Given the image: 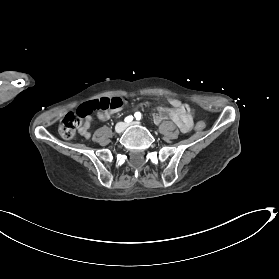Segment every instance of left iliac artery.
Segmentation results:
<instances>
[{"label":"left iliac artery","instance_id":"44dca946","mask_svg":"<svg viewBox=\"0 0 279 279\" xmlns=\"http://www.w3.org/2000/svg\"><path fill=\"white\" fill-rule=\"evenodd\" d=\"M135 118H136L137 120H141V119H142L141 113H140V112H136V113H135Z\"/></svg>","mask_w":279,"mask_h":279}]
</instances>
